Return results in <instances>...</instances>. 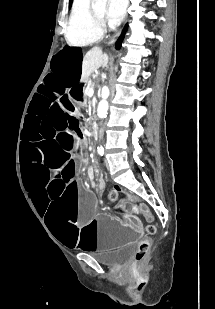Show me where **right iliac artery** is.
<instances>
[{"label":"right iliac artery","mask_w":215,"mask_h":309,"mask_svg":"<svg viewBox=\"0 0 215 309\" xmlns=\"http://www.w3.org/2000/svg\"><path fill=\"white\" fill-rule=\"evenodd\" d=\"M98 153H99L101 156H103V154H104V149L99 150Z\"/></svg>","instance_id":"82829eb1"}]
</instances>
